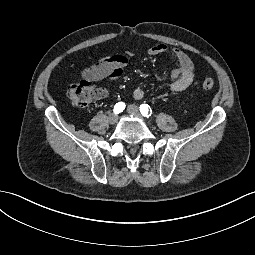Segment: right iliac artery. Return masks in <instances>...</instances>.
<instances>
[{
  "label": "right iliac artery",
  "mask_w": 255,
  "mask_h": 255,
  "mask_svg": "<svg viewBox=\"0 0 255 255\" xmlns=\"http://www.w3.org/2000/svg\"><path fill=\"white\" fill-rule=\"evenodd\" d=\"M125 109V103L123 102H118L115 106H114V113L115 114H119L121 112H123V110Z\"/></svg>",
  "instance_id": "82829eb1"
}]
</instances>
